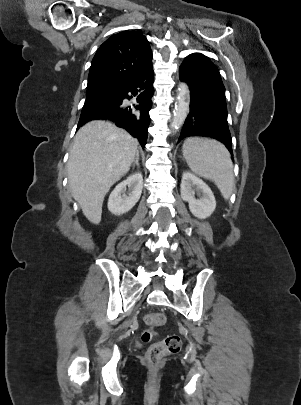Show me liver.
<instances>
[{
	"label": "liver",
	"mask_w": 301,
	"mask_h": 405,
	"mask_svg": "<svg viewBox=\"0 0 301 405\" xmlns=\"http://www.w3.org/2000/svg\"><path fill=\"white\" fill-rule=\"evenodd\" d=\"M138 141L108 121L94 120L81 127L70 150L68 184L85 217L101 221L104 197L130 169Z\"/></svg>",
	"instance_id": "6515ba94"
}]
</instances>
